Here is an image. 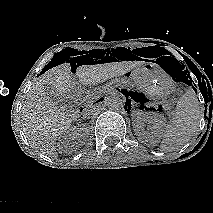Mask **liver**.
Returning <instances> with one entry per match:
<instances>
[{"label":"liver","mask_w":213,"mask_h":213,"mask_svg":"<svg viewBox=\"0 0 213 213\" xmlns=\"http://www.w3.org/2000/svg\"><path fill=\"white\" fill-rule=\"evenodd\" d=\"M142 64L137 61H124L83 65L77 68L76 75L80 83L88 85L123 75ZM49 86L61 96L72 92L75 81L71 76L70 63L60 64L42 74L27 93L21 110L23 130L29 142L41 153L56 158L58 153L55 140L59 134L69 129L77 116L75 113L63 111L50 100L46 92Z\"/></svg>","instance_id":"1"}]
</instances>
